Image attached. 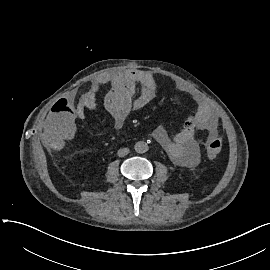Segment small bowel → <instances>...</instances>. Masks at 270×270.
<instances>
[{
    "label": "small bowel",
    "mask_w": 270,
    "mask_h": 270,
    "mask_svg": "<svg viewBox=\"0 0 270 270\" xmlns=\"http://www.w3.org/2000/svg\"><path fill=\"white\" fill-rule=\"evenodd\" d=\"M106 85L110 89L105 98V107L113 119V130L118 132L124 127L132 111L142 109L151 102L163 82L149 71L126 69L98 76L80 98L71 92L63 94L47 125L45 138L49 145L57 147L63 143L71 145L78 141L80 133L71 120L84 121L87 113L94 112L96 95ZM137 86L140 87V93L136 96ZM177 88L195 98L198 109L173 137L168 135L164 126H158L153 137L174 163L194 167L200 162L197 133L206 131L217 134V117L203 98L184 87Z\"/></svg>",
    "instance_id": "c3829d8e"
}]
</instances>
